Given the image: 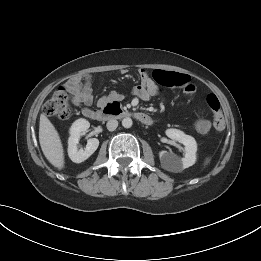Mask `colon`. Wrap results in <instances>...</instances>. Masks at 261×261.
<instances>
[{
  "label": "colon",
  "instance_id": "5ec220e1",
  "mask_svg": "<svg viewBox=\"0 0 261 261\" xmlns=\"http://www.w3.org/2000/svg\"><path fill=\"white\" fill-rule=\"evenodd\" d=\"M70 94L65 87L58 88L52 97L44 104V112L60 120H66L71 116L69 105ZM206 102L213 114V126L221 131L225 128V120L221 111L218 98L214 94L206 97Z\"/></svg>",
  "mask_w": 261,
  "mask_h": 261
}]
</instances>
